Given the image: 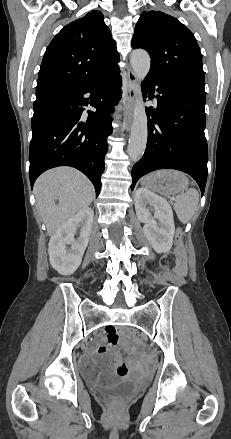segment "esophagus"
Listing matches in <instances>:
<instances>
[{
    "instance_id": "esophagus-1",
    "label": "esophagus",
    "mask_w": 231,
    "mask_h": 439,
    "mask_svg": "<svg viewBox=\"0 0 231 439\" xmlns=\"http://www.w3.org/2000/svg\"><path fill=\"white\" fill-rule=\"evenodd\" d=\"M125 94L123 105L121 108V117L123 118V124L126 129H129L132 118L133 105L137 98V76L129 70L125 79Z\"/></svg>"
}]
</instances>
